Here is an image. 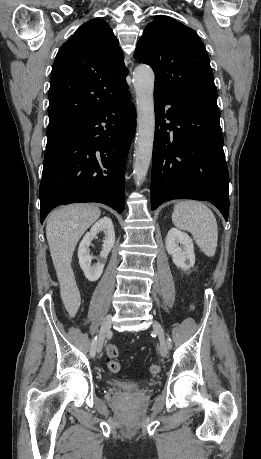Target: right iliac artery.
Masks as SVG:
<instances>
[{"label": "right iliac artery", "mask_w": 261, "mask_h": 459, "mask_svg": "<svg viewBox=\"0 0 261 459\" xmlns=\"http://www.w3.org/2000/svg\"><path fill=\"white\" fill-rule=\"evenodd\" d=\"M96 345H97V336H95V337L93 338L92 343H91V349H90V355H91V357H94V356H95Z\"/></svg>", "instance_id": "obj_1"}]
</instances>
